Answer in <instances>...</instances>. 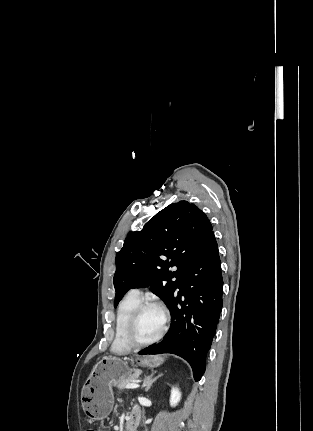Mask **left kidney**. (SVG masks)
Wrapping results in <instances>:
<instances>
[{"label": "left kidney", "instance_id": "5707ae66", "mask_svg": "<svg viewBox=\"0 0 313 431\" xmlns=\"http://www.w3.org/2000/svg\"><path fill=\"white\" fill-rule=\"evenodd\" d=\"M181 400V392L180 390L176 388L171 389V396H170V406L175 407L179 401Z\"/></svg>", "mask_w": 313, "mask_h": 431}]
</instances>
